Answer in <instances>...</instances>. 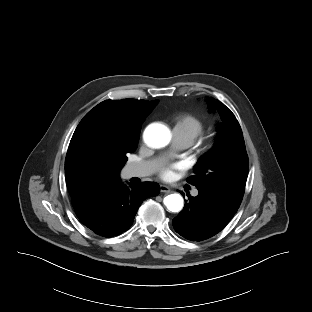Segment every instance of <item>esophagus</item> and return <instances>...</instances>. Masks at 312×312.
Listing matches in <instances>:
<instances>
[{
	"label": "esophagus",
	"mask_w": 312,
	"mask_h": 312,
	"mask_svg": "<svg viewBox=\"0 0 312 312\" xmlns=\"http://www.w3.org/2000/svg\"><path fill=\"white\" fill-rule=\"evenodd\" d=\"M160 191L164 193H170L171 188L166 185H160Z\"/></svg>",
	"instance_id": "obj_1"
}]
</instances>
